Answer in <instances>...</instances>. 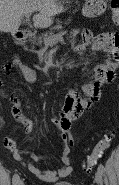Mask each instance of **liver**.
<instances>
[{"mask_svg":"<svg viewBox=\"0 0 119 185\" xmlns=\"http://www.w3.org/2000/svg\"><path fill=\"white\" fill-rule=\"evenodd\" d=\"M56 0H0V31L16 32L21 18L26 13L38 12L33 18L34 26L46 28L52 24V17L63 12Z\"/></svg>","mask_w":119,"mask_h":185,"instance_id":"6515ba94","label":"liver"}]
</instances>
